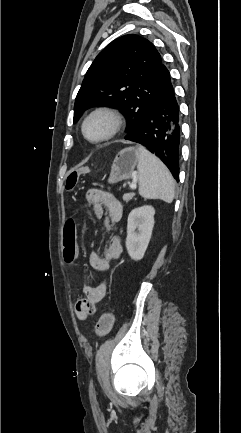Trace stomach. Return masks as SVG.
<instances>
[{
	"instance_id": "1",
	"label": "stomach",
	"mask_w": 241,
	"mask_h": 433,
	"mask_svg": "<svg viewBox=\"0 0 241 433\" xmlns=\"http://www.w3.org/2000/svg\"><path fill=\"white\" fill-rule=\"evenodd\" d=\"M138 161L139 152L135 147L121 150L112 163L108 183L115 184L129 179L133 175Z\"/></svg>"
}]
</instances>
